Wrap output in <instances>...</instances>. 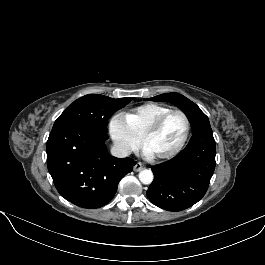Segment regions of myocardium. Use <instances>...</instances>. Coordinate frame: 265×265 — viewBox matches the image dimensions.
<instances>
[{
    "label": "myocardium",
    "instance_id": "1",
    "mask_svg": "<svg viewBox=\"0 0 265 265\" xmlns=\"http://www.w3.org/2000/svg\"><path fill=\"white\" fill-rule=\"evenodd\" d=\"M172 114H179L184 118L185 124H186L184 136H183L181 142L172 150L164 152V153L151 155V157L154 159L163 160V159H168V158H171V157L177 155L184 148V146L186 145V143L188 141L190 131H191V123H190V119H189L188 115L182 110L170 109V110L164 112L163 114H161L160 116H158L150 124V126L144 131V133L141 136L142 146L144 148H146V143H147L148 139L151 136H153L160 129L161 125L166 120V118Z\"/></svg>",
    "mask_w": 265,
    "mask_h": 265
}]
</instances>
